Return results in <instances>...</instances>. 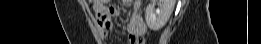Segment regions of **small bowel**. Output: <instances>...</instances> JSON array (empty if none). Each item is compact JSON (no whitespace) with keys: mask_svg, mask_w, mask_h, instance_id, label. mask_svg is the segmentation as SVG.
Masks as SVG:
<instances>
[{"mask_svg":"<svg viewBox=\"0 0 261 44\" xmlns=\"http://www.w3.org/2000/svg\"><path fill=\"white\" fill-rule=\"evenodd\" d=\"M127 3L128 1H123V4ZM140 6L141 3L139 1L133 2V9L127 24L128 39L131 44H136V40L142 38L147 30L140 11ZM94 11L97 15L101 36L108 37L114 27L112 16L120 13L119 8L116 6H108L107 4H105V6H96L95 4Z\"/></svg>","mask_w":261,"mask_h":44,"instance_id":"1","label":"small bowel"}]
</instances>
